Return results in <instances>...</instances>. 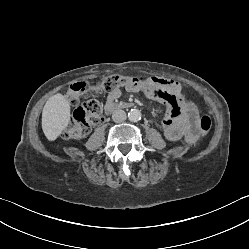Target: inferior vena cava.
Returning a JSON list of instances; mask_svg holds the SVG:
<instances>
[{
    "instance_id": "1",
    "label": "inferior vena cava",
    "mask_w": 249,
    "mask_h": 249,
    "mask_svg": "<svg viewBox=\"0 0 249 249\" xmlns=\"http://www.w3.org/2000/svg\"><path fill=\"white\" fill-rule=\"evenodd\" d=\"M126 118H127V116H126L125 111L120 110V109L115 110V111L113 112V114H112V120H113L114 122H122V121H125Z\"/></svg>"
}]
</instances>
